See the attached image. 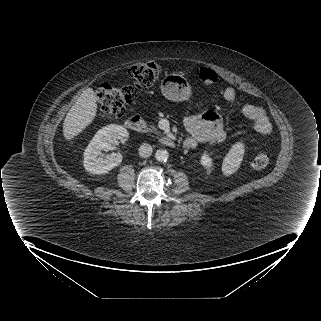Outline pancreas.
Segmentation results:
<instances>
[{
	"mask_svg": "<svg viewBox=\"0 0 321 321\" xmlns=\"http://www.w3.org/2000/svg\"><path fill=\"white\" fill-rule=\"evenodd\" d=\"M150 131H151V132L160 133V131H159L157 128H155V127H151Z\"/></svg>",
	"mask_w": 321,
	"mask_h": 321,
	"instance_id": "obj_1",
	"label": "pancreas"
}]
</instances>
